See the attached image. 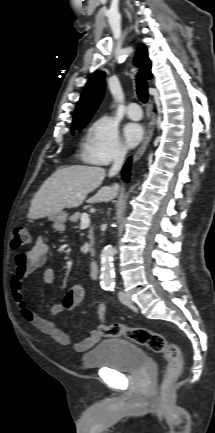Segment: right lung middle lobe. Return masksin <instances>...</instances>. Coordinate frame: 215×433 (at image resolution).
Returning a JSON list of instances; mask_svg holds the SVG:
<instances>
[{"instance_id": "right-lung-middle-lobe-1", "label": "right lung middle lobe", "mask_w": 215, "mask_h": 433, "mask_svg": "<svg viewBox=\"0 0 215 433\" xmlns=\"http://www.w3.org/2000/svg\"><path fill=\"white\" fill-rule=\"evenodd\" d=\"M87 123H88V121L72 123V130H75V129L81 130Z\"/></svg>"}]
</instances>
